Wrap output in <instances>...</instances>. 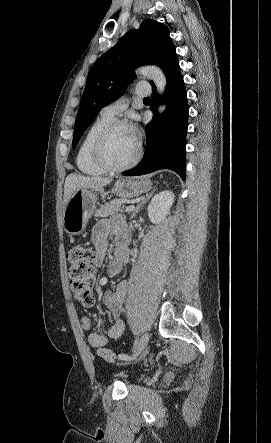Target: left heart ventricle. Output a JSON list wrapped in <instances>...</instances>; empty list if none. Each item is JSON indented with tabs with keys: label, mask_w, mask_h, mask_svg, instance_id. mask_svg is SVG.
Wrapping results in <instances>:
<instances>
[{
	"label": "left heart ventricle",
	"mask_w": 271,
	"mask_h": 443,
	"mask_svg": "<svg viewBox=\"0 0 271 443\" xmlns=\"http://www.w3.org/2000/svg\"><path fill=\"white\" fill-rule=\"evenodd\" d=\"M137 139L134 130L128 126L116 128L107 143V155L115 165L126 163L135 154Z\"/></svg>",
	"instance_id": "1"
}]
</instances>
